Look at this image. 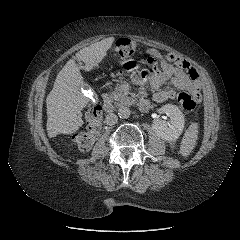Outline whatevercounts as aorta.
Here are the masks:
<instances>
[{"label": "aorta", "mask_w": 240, "mask_h": 240, "mask_svg": "<svg viewBox=\"0 0 240 240\" xmlns=\"http://www.w3.org/2000/svg\"><path fill=\"white\" fill-rule=\"evenodd\" d=\"M130 114H131V110L126 107V106H122L118 109V115L120 118L122 119H127L130 117Z\"/></svg>", "instance_id": "1"}]
</instances>
